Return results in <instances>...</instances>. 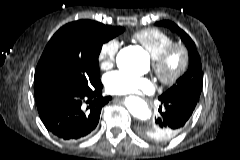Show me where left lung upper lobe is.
<instances>
[{"label": "left lung upper lobe", "instance_id": "left-lung-upper-lobe-1", "mask_svg": "<svg viewBox=\"0 0 240 160\" xmlns=\"http://www.w3.org/2000/svg\"><path fill=\"white\" fill-rule=\"evenodd\" d=\"M157 25L168 27L180 36L188 49L190 59L187 72L177 80L176 84L161 96L182 97L193 100L197 103L203 85V72L200 56L196 50L195 43L187 33L171 21H161L158 22Z\"/></svg>", "mask_w": 240, "mask_h": 160}]
</instances>
